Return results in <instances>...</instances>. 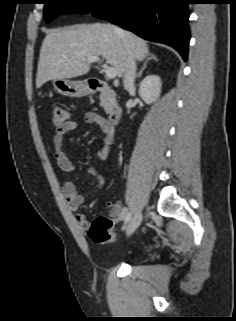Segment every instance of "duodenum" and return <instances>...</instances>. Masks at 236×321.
<instances>
[{
    "label": "duodenum",
    "mask_w": 236,
    "mask_h": 321,
    "mask_svg": "<svg viewBox=\"0 0 236 321\" xmlns=\"http://www.w3.org/2000/svg\"><path fill=\"white\" fill-rule=\"evenodd\" d=\"M88 88L91 92L102 93L110 102L108 108V118L112 123H117L122 115L121 109L114 103V92L110 86L103 80L93 78L88 82Z\"/></svg>",
    "instance_id": "duodenum-1"
}]
</instances>
